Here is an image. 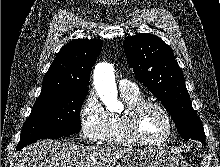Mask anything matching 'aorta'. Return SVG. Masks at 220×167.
<instances>
[{
	"label": "aorta",
	"mask_w": 220,
	"mask_h": 167,
	"mask_svg": "<svg viewBox=\"0 0 220 167\" xmlns=\"http://www.w3.org/2000/svg\"><path fill=\"white\" fill-rule=\"evenodd\" d=\"M94 85L100 99L108 110L117 111L122 108L123 105L117 98V87L112 65L103 62L96 66L94 70Z\"/></svg>",
	"instance_id": "762f6f07"
}]
</instances>
